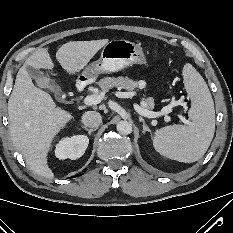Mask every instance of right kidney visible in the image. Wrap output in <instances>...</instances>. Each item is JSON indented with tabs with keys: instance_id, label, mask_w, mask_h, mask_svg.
Instances as JSON below:
<instances>
[{
	"instance_id": "1",
	"label": "right kidney",
	"mask_w": 233,
	"mask_h": 233,
	"mask_svg": "<svg viewBox=\"0 0 233 233\" xmlns=\"http://www.w3.org/2000/svg\"><path fill=\"white\" fill-rule=\"evenodd\" d=\"M89 144V139L85 135H75L64 138L56 145L55 155L59 159L75 160L80 158Z\"/></svg>"
}]
</instances>
